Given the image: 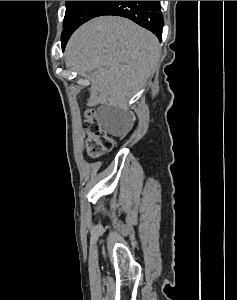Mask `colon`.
Returning a JSON list of instances; mask_svg holds the SVG:
<instances>
[{
  "mask_svg": "<svg viewBox=\"0 0 237 300\" xmlns=\"http://www.w3.org/2000/svg\"><path fill=\"white\" fill-rule=\"evenodd\" d=\"M85 121L83 129L87 134V153L93 158L109 152L113 147L111 137L102 129L97 115L93 109H87L85 112Z\"/></svg>",
  "mask_w": 237,
  "mask_h": 300,
  "instance_id": "5ec220e1",
  "label": "colon"
}]
</instances>
